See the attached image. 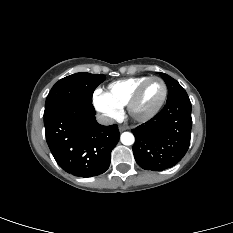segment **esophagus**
Returning a JSON list of instances; mask_svg holds the SVG:
<instances>
[{
	"mask_svg": "<svg viewBox=\"0 0 233 233\" xmlns=\"http://www.w3.org/2000/svg\"><path fill=\"white\" fill-rule=\"evenodd\" d=\"M126 129H127V128H126L125 126H120V127H119V131H120V132H123V131H125Z\"/></svg>",
	"mask_w": 233,
	"mask_h": 233,
	"instance_id": "esophagus-1",
	"label": "esophagus"
}]
</instances>
